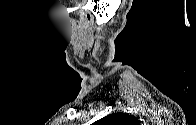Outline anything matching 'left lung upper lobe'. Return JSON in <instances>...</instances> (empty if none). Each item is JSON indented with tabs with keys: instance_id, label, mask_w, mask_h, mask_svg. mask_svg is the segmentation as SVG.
<instances>
[{
	"instance_id": "left-lung-upper-lobe-1",
	"label": "left lung upper lobe",
	"mask_w": 196,
	"mask_h": 125,
	"mask_svg": "<svg viewBox=\"0 0 196 125\" xmlns=\"http://www.w3.org/2000/svg\"><path fill=\"white\" fill-rule=\"evenodd\" d=\"M98 125H135L138 121L126 113H112L95 122Z\"/></svg>"
}]
</instances>
